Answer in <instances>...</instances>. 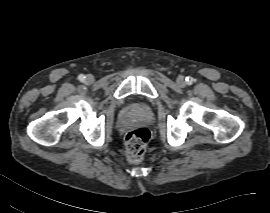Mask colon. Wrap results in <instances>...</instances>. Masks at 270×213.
I'll return each instance as SVG.
<instances>
[{
	"label": "colon",
	"mask_w": 270,
	"mask_h": 213,
	"mask_svg": "<svg viewBox=\"0 0 270 213\" xmlns=\"http://www.w3.org/2000/svg\"><path fill=\"white\" fill-rule=\"evenodd\" d=\"M150 134L145 128H136L126 135V156L132 163L139 162L146 151Z\"/></svg>",
	"instance_id": "1"
}]
</instances>
